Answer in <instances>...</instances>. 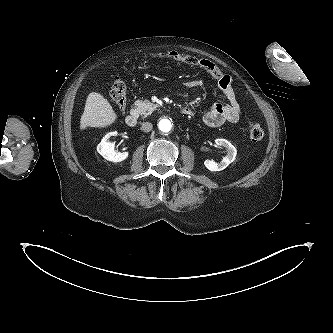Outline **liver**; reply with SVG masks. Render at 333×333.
<instances>
[{
	"label": "liver",
	"mask_w": 333,
	"mask_h": 333,
	"mask_svg": "<svg viewBox=\"0 0 333 333\" xmlns=\"http://www.w3.org/2000/svg\"><path fill=\"white\" fill-rule=\"evenodd\" d=\"M117 119V114L109 101L100 93L91 92L86 100L80 119V129L87 127H107Z\"/></svg>",
	"instance_id": "liver-1"
}]
</instances>
